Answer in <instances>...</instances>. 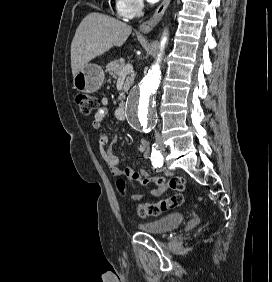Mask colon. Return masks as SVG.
<instances>
[{
    "instance_id": "1",
    "label": "colon",
    "mask_w": 272,
    "mask_h": 282,
    "mask_svg": "<svg viewBox=\"0 0 272 282\" xmlns=\"http://www.w3.org/2000/svg\"><path fill=\"white\" fill-rule=\"evenodd\" d=\"M77 105L82 113L89 114L97 106L96 99L86 93H79L76 96ZM134 180L139 181L143 185H147L150 179L142 177L139 174H134ZM158 184H167L171 189L184 191L186 189V180L182 177H172L169 180L157 178L153 180ZM117 187L122 194H125V181L123 178H118L116 181ZM183 197L180 194L172 195L168 198L161 199L157 203H142L137 208V213L141 217L158 216L168 209L181 206Z\"/></svg>"
}]
</instances>
